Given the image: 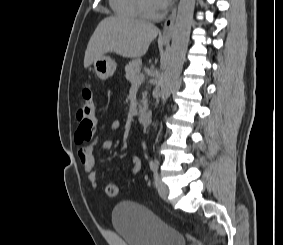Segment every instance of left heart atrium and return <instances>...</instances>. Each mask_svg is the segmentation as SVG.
I'll use <instances>...</instances> for the list:
<instances>
[{"instance_id":"39dd6f15","label":"left heart atrium","mask_w":283,"mask_h":245,"mask_svg":"<svg viewBox=\"0 0 283 245\" xmlns=\"http://www.w3.org/2000/svg\"><path fill=\"white\" fill-rule=\"evenodd\" d=\"M170 1L171 0H155V2L160 8H164L165 6H167L170 3Z\"/></svg>"}]
</instances>
